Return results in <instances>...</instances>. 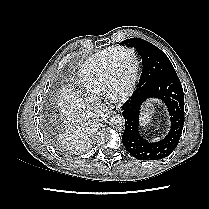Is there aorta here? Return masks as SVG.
<instances>
[{"mask_svg":"<svg viewBox=\"0 0 209 209\" xmlns=\"http://www.w3.org/2000/svg\"><path fill=\"white\" fill-rule=\"evenodd\" d=\"M109 124L115 129H121L125 125V119L122 115L116 114L110 118Z\"/></svg>","mask_w":209,"mask_h":209,"instance_id":"aorta-1","label":"aorta"}]
</instances>
